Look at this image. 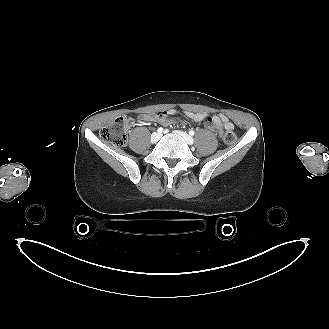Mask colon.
I'll list each match as a JSON object with an SVG mask.
<instances>
[{
	"label": "colon",
	"mask_w": 329,
	"mask_h": 329,
	"mask_svg": "<svg viewBox=\"0 0 329 329\" xmlns=\"http://www.w3.org/2000/svg\"><path fill=\"white\" fill-rule=\"evenodd\" d=\"M130 118L120 117L107 124L100 130V138L116 146H124L127 140V128ZM224 141L227 144H233L236 141V134L228 131L224 135Z\"/></svg>",
	"instance_id": "1"
}]
</instances>
